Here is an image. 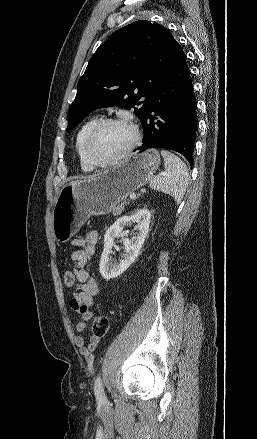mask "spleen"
<instances>
[{"mask_svg": "<svg viewBox=\"0 0 257 439\" xmlns=\"http://www.w3.org/2000/svg\"><path fill=\"white\" fill-rule=\"evenodd\" d=\"M165 172L151 178L150 187L172 196L177 204L181 202L188 185V171L183 161L167 150H161Z\"/></svg>", "mask_w": 257, "mask_h": 439, "instance_id": "obj_1", "label": "spleen"}]
</instances>
